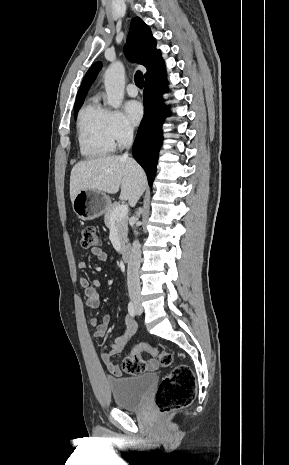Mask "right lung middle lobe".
Segmentation results:
<instances>
[{
  "mask_svg": "<svg viewBox=\"0 0 289 465\" xmlns=\"http://www.w3.org/2000/svg\"><path fill=\"white\" fill-rule=\"evenodd\" d=\"M82 104H83V100L75 103V105H74L75 115L77 114V112L80 109V107L82 106Z\"/></svg>",
  "mask_w": 289,
  "mask_h": 465,
  "instance_id": "obj_1",
  "label": "right lung middle lobe"
}]
</instances>
